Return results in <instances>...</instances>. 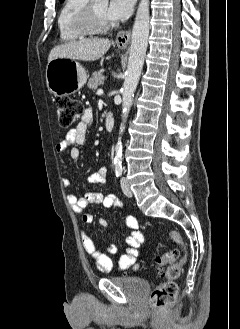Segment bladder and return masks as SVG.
<instances>
[{
	"instance_id": "bladder-1",
	"label": "bladder",
	"mask_w": 240,
	"mask_h": 329,
	"mask_svg": "<svg viewBox=\"0 0 240 329\" xmlns=\"http://www.w3.org/2000/svg\"><path fill=\"white\" fill-rule=\"evenodd\" d=\"M111 281L134 297H142L149 291V283L139 276H114Z\"/></svg>"
}]
</instances>
